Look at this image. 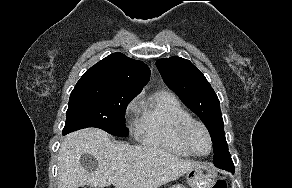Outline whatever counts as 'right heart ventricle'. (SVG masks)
<instances>
[{"mask_svg": "<svg viewBox=\"0 0 292 188\" xmlns=\"http://www.w3.org/2000/svg\"><path fill=\"white\" fill-rule=\"evenodd\" d=\"M192 118L175 95L167 91L155 93L142 105L135 122L139 142L163 149L181 157H191L179 137L183 122Z\"/></svg>", "mask_w": 292, "mask_h": 188, "instance_id": "e07e8e85", "label": "right heart ventricle"}]
</instances>
